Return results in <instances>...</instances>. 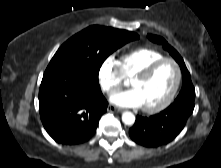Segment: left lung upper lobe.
Listing matches in <instances>:
<instances>
[{"instance_id":"1","label":"left lung upper lobe","mask_w":221,"mask_h":168,"mask_svg":"<svg viewBox=\"0 0 221 168\" xmlns=\"http://www.w3.org/2000/svg\"><path fill=\"white\" fill-rule=\"evenodd\" d=\"M148 38L156 42L158 44H162L163 48L167 50L171 56L177 61V63L180 65L181 71H182V77H183V82H182V89L179 95L183 94H194L195 95V89L193 87V84L191 82V76L189 71L187 70L185 63L182 59V57L179 55V53L171 47L162 37L155 36V35H148Z\"/></svg>"}]
</instances>
